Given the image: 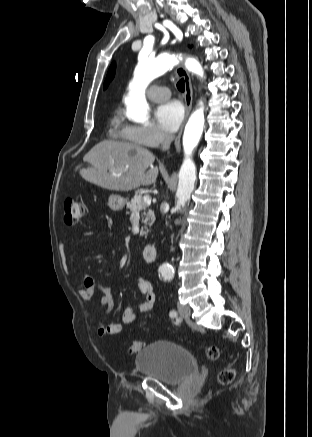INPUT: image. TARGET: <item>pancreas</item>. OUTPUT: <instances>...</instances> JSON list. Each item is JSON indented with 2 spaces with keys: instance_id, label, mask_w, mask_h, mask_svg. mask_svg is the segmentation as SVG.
Wrapping results in <instances>:
<instances>
[{
  "instance_id": "obj_1",
  "label": "pancreas",
  "mask_w": 312,
  "mask_h": 437,
  "mask_svg": "<svg viewBox=\"0 0 312 437\" xmlns=\"http://www.w3.org/2000/svg\"><path fill=\"white\" fill-rule=\"evenodd\" d=\"M148 207V204H146L143 200V197L140 195L134 196L133 199H131L130 202H127V208L130 210V212H138L145 210ZM155 221L154 212L152 210H148L147 214H145V219L143 222L145 223V226L141 228L140 236H146L148 233L147 226H152Z\"/></svg>"
}]
</instances>
